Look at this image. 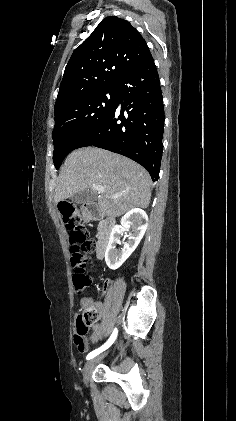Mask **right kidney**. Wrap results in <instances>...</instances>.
<instances>
[{"mask_svg":"<svg viewBox=\"0 0 236 421\" xmlns=\"http://www.w3.org/2000/svg\"><path fill=\"white\" fill-rule=\"evenodd\" d=\"M121 225L124 231H129L130 227L132 233H129L127 243H123V249H116V245H120V237L123 233L121 227L116 225L113 227L112 233L109 239V245L105 253V261L107 267L116 271L119 269L126 259L132 255L136 247H138L142 237L146 233L148 227V217L145 211H142V208H131V211H128L124 217L121 219Z\"/></svg>","mask_w":236,"mask_h":421,"instance_id":"obj_1","label":"right kidney"}]
</instances>
